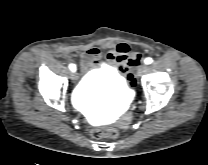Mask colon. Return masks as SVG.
<instances>
[{
    "instance_id": "colon-1",
    "label": "colon",
    "mask_w": 208,
    "mask_h": 165,
    "mask_svg": "<svg viewBox=\"0 0 208 165\" xmlns=\"http://www.w3.org/2000/svg\"><path fill=\"white\" fill-rule=\"evenodd\" d=\"M124 77L128 80L129 86L135 89L138 86V80L135 78L132 72H126ZM92 136L95 139L103 138H117L119 136V130L113 127L98 128L92 131Z\"/></svg>"
}]
</instances>
